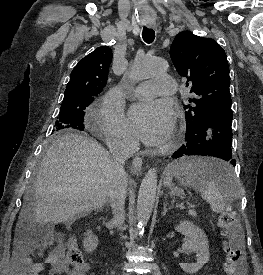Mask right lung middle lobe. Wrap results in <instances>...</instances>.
<instances>
[{
  "label": "right lung middle lobe",
  "mask_w": 263,
  "mask_h": 275,
  "mask_svg": "<svg viewBox=\"0 0 263 275\" xmlns=\"http://www.w3.org/2000/svg\"><path fill=\"white\" fill-rule=\"evenodd\" d=\"M93 100L94 97L90 95H78L63 99L59 119L56 122L52 133L56 136L65 130H84V110Z\"/></svg>",
  "instance_id": "obj_1"
}]
</instances>
